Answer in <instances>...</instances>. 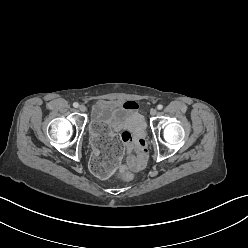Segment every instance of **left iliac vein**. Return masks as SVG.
Instances as JSON below:
<instances>
[{"instance_id":"left-iliac-vein-1","label":"left iliac vein","mask_w":248,"mask_h":248,"mask_svg":"<svg viewBox=\"0 0 248 248\" xmlns=\"http://www.w3.org/2000/svg\"><path fill=\"white\" fill-rule=\"evenodd\" d=\"M156 114H157V110L156 109L153 108V109L150 110V115L151 116H155Z\"/></svg>"}]
</instances>
